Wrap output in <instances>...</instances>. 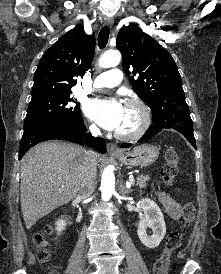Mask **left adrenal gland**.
Returning <instances> with one entry per match:
<instances>
[{
  "label": "left adrenal gland",
  "mask_w": 221,
  "mask_h": 274,
  "mask_svg": "<svg viewBox=\"0 0 221 274\" xmlns=\"http://www.w3.org/2000/svg\"><path fill=\"white\" fill-rule=\"evenodd\" d=\"M119 192L122 194V195H126V194H129L130 192H132V189H127L124 184L121 182L120 183V187H119Z\"/></svg>",
  "instance_id": "obj_1"
}]
</instances>
